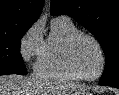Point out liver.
<instances>
[{
  "label": "liver",
  "instance_id": "liver-1",
  "mask_svg": "<svg viewBox=\"0 0 119 95\" xmlns=\"http://www.w3.org/2000/svg\"><path fill=\"white\" fill-rule=\"evenodd\" d=\"M76 88H79L77 84L41 74L30 77L15 74L0 76V95H66Z\"/></svg>",
  "mask_w": 119,
  "mask_h": 95
}]
</instances>
